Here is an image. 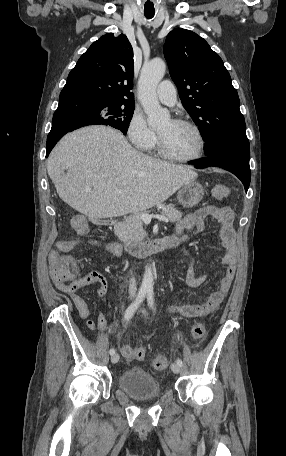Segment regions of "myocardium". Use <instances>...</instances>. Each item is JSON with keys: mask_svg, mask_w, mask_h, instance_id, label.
I'll return each mask as SVG.
<instances>
[{"mask_svg": "<svg viewBox=\"0 0 286 456\" xmlns=\"http://www.w3.org/2000/svg\"><path fill=\"white\" fill-rule=\"evenodd\" d=\"M172 121L176 124L187 126L196 133V135L199 139V144H200L199 150L195 155L190 156V157H177L167 151L162 137L160 136L159 133H157V150H158L159 155L167 160H171V161H175V162H184V163L194 162V161L201 159L204 156L205 151H206V138H205L202 130L200 129V127L192 121L181 119V118H175V119H172Z\"/></svg>", "mask_w": 286, "mask_h": 456, "instance_id": "myocardium-1", "label": "myocardium"}]
</instances>
